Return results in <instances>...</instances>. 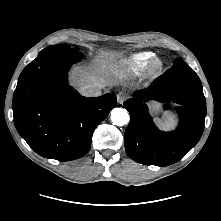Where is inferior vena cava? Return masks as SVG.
Segmentation results:
<instances>
[{"instance_id": "obj_1", "label": "inferior vena cava", "mask_w": 221, "mask_h": 221, "mask_svg": "<svg viewBox=\"0 0 221 221\" xmlns=\"http://www.w3.org/2000/svg\"><path fill=\"white\" fill-rule=\"evenodd\" d=\"M105 87V84L97 83V84H89L83 88V93L89 97H96L102 94V89Z\"/></svg>"}]
</instances>
